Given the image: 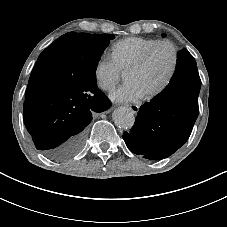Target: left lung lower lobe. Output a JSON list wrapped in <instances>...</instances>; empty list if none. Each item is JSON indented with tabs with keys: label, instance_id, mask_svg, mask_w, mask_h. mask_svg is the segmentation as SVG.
Listing matches in <instances>:
<instances>
[{
	"label": "left lung lower lobe",
	"instance_id": "0a47b994",
	"mask_svg": "<svg viewBox=\"0 0 227 227\" xmlns=\"http://www.w3.org/2000/svg\"><path fill=\"white\" fill-rule=\"evenodd\" d=\"M201 80L193 56L178 52L175 72L167 87L140 107L134 126L124 132L130 151L150 160L169 157L188 140L198 117Z\"/></svg>",
	"mask_w": 227,
	"mask_h": 227
}]
</instances>
